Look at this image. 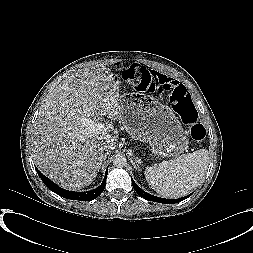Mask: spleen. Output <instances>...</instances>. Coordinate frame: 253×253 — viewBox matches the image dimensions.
I'll list each match as a JSON object with an SVG mask.
<instances>
[{
	"mask_svg": "<svg viewBox=\"0 0 253 253\" xmlns=\"http://www.w3.org/2000/svg\"><path fill=\"white\" fill-rule=\"evenodd\" d=\"M208 164V150L200 149L147 167L144 174L159 195L178 198L187 195L200 184Z\"/></svg>",
	"mask_w": 253,
	"mask_h": 253,
	"instance_id": "3e777b00",
	"label": "spleen"
}]
</instances>
